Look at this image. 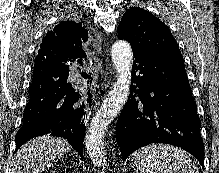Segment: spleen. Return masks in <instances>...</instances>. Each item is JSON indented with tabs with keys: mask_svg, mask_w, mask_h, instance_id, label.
<instances>
[{
	"mask_svg": "<svg viewBox=\"0 0 219 173\" xmlns=\"http://www.w3.org/2000/svg\"><path fill=\"white\" fill-rule=\"evenodd\" d=\"M131 164L136 173H198L184 150L166 144H151L137 150Z\"/></svg>",
	"mask_w": 219,
	"mask_h": 173,
	"instance_id": "3e777b00",
	"label": "spleen"
}]
</instances>
